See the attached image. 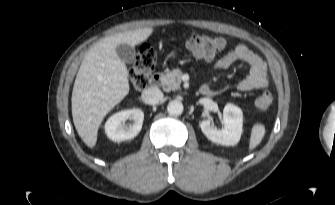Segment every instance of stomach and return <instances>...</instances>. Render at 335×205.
Returning a JSON list of instances; mask_svg holds the SVG:
<instances>
[{
	"mask_svg": "<svg viewBox=\"0 0 335 205\" xmlns=\"http://www.w3.org/2000/svg\"><path fill=\"white\" fill-rule=\"evenodd\" d=\"M168 57L169 58H175L176 57V53L174 51H171L169 54H168Z\"/></svg>",
	"mask_w": 335,
	"mask_h": 205,
	"instance_id": "stomach-1",
	"label": "stomach"
}]
</instances>
